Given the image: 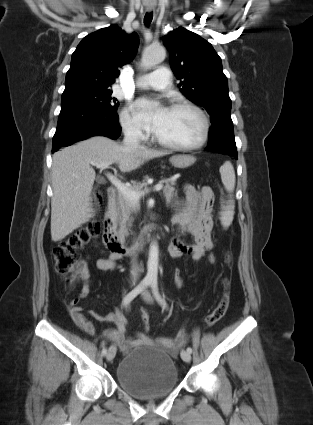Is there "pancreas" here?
<instances>
[{
	"mask_svg": "<svg viewBox=\"0 0 313 425\" xmlns=\"http://www.w3.org/2000/svg\"><path fill=\"white\" fill-rule=\"evenodd\" d=\"M148 177H146L142 183H137L130 186L129 188L132 191L139 192L142 188L147 186ZM175 180L173 179H164L161 183H165L163 188V195L167 203H170L177 197V192L173 187L175 185ZM117 216H118V226L119 232L125 236L128 235V227L132 226L133 218L131 214L137 213L140 209L139 202H132L128 200L123 194L118 191L117 196Z\"/></svg>",
	"mask_w": 313,
	"mask_h": 425,
	"instance_id": "obj_1",
	"label": "pancreas"
}]
</instances>
